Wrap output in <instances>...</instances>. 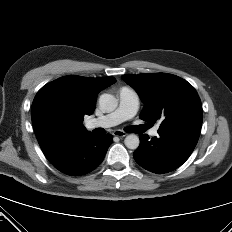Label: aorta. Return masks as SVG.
Listing matches in <instances>:
<instances>
[{"mask_svg": "<svg viewBox=\"0 0 232 232\" xmlns=\"http://www.w3.org/2000/svg\"><path fill=\"white\" fill-rule=\"evenodd\" d=\"M100 109L104 112H112L118 106V100L111 94L104 93L99 98ZM125 146L129 149H137L140 144L139 137L135 134L126 136L124 140Z\"/></svg>", "mask_w": 232, "mask_h": 232, "instance_id": "762f6f07", "label": "aorta"}]
</instances>
